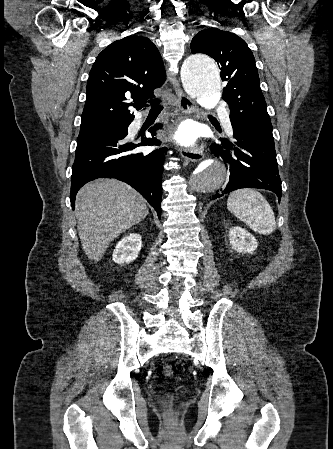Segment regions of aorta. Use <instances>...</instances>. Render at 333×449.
Here are the masks:
<instances>
[{
  "label": "aorta",
  "mask_w": 333,
  "mask_h": 449,
  "mask_svg": "<svg viewBox=\"0 0 333 449\" xmlns=\"http://www.w3.org/2000/svg\"><path fill=\"white\" fill-rule=\"evenodd\" d=\"M181 80L185 91L193 98L215 103L221 97V80L214 60L205 54H193L181 67ZM227 178L225 162L212 158L199 163L190 172L187 185L194 193H214L222 188Z\"/></svg>",
  "instance_id": "762f6f07"
}]
</instances>
